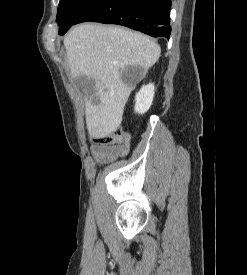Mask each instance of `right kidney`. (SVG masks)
Wrapping results in <instances>:
<instances>
[{
	"mask_svg": "<svg viewBox=\"0 0 247 275\" xmlns=\"http://www.w3.org/2000/svg\"><path fill=\"white\" fill-rule=\"evenodd\" d=\"M154 97V84L142 86L140 91L135 96V112L138 114H144L149 110L152 105Z\"/></svg>",
	"mask_w": 247,
	"mask_h": 275,
	"instance_id": "obj_1",
	"label": "right kidney"
}]
</instances>
